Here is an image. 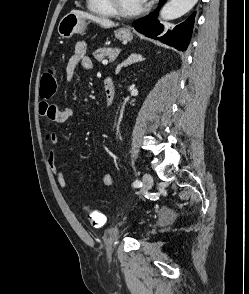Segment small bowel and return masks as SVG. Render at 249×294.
<instances>
[{
	"label": "small bowel",
	"instance_id": "small-bowel-1",
	"mask_svg": "<svg viewBox=\"0 0 249 294\" xmlns=\"http://www.w3.org/2000/svg\"><path fill=\"white\" fill-rule=\"evenodd\" d=\"M87 45L85 42H78L72 54L70 55L66 65V75L71 80L75 74L77 67H81L83 70L88 71L93 67L91 59L86 55ZM40 115L48 122L53 124H59L66 122L71 118L75 110L71 107L59 108L55 104L48 102H41L39 104ZM46 142L49 145L48 162L52 173L54 174L59 186L63 189L67 188L68 182L65 174L59 169L56 163L58 136L56 133L49 130L46 135ZM102 183L105 187H110L113 183L110 173L105 172L102 176ZM164 218L170 217V214H163Z\"/></svg>",
	"mask_w": 249,
	"mask_h": 294
}]
</instances>
